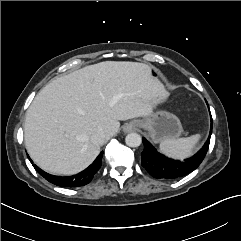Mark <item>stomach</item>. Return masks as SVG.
<instances>
[{"instance_id": "obj_1", "label": "stomach", "mask_w": 241, "mask_h": 241, "mask_svg": "<svg viewBox=\"0 0 241 241\" xmlns=\"http://www.w3.org/2000/svg\"><path fill=\"white\" fill-rule=\"evenodd\" d=\"M138 127L148 131L150 138L154 142H162L167 139H177L183 132V128L178 117L167 111H156L135 120Z\"/></svg>"}]
</instances>
